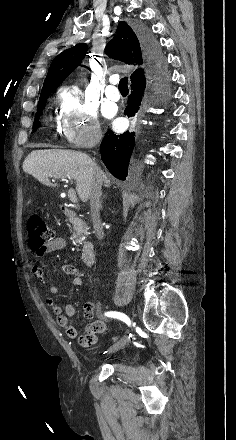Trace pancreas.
Wrapping results in <instances>:
<instances>
[{"label": "pancreas", "mask_w": 236, "mask_h": 440, "mask_svg": "<svg viewBox=\"0 0 236 440\" xmlns=\"http://www.w3.org/2000/svg\"><path fill=\"white\" fill-rule=\"evenodd\" d=\"M73 224V238L76 239L77 241H82V238L87 235V231L89 229V227L87 226L86 223H84L82 220L80 219H76L75 221L72 222Z\"/></svg>", "instance_id": "pancreas-1"}]
</instances>
